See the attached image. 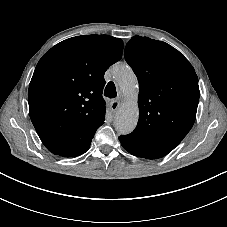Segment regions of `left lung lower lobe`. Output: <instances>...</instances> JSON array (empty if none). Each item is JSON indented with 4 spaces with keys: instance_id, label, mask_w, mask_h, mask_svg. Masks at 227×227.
<instances>
[{
    "instance_id": "1",
    "label": "left lung lower lobe",
    "mask_w": 227,
    "mask_h": 227,
    "mask_svg": "<svg viewBox=\"0 0 227 227\" xmlns=\"http://www.w3.org/2000/svg\"><path fill=\"white\" fill-rule=\"evenodd\" d=\"M119 140L124 149H126L132 155L137 157H144L146 159H158L165 156L163 153L153 149L149 146L139 145L135 141L120 136Z\"/></svg>"
}]
</instances>
